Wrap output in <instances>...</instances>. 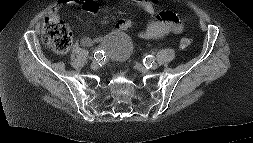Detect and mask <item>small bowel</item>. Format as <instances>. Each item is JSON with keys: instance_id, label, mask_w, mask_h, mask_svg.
<instances>
[{"instance_id": "1", "label": "small bowel", "mask_w": 253, "mask_h": 143, "mask_svg": "<svg viewBox=\"0 0 253 143\" xmlns=\"http://www.w3.org/2000/svg\"><path fill=\"white\" fill-rule=\"evenodd\" d=\"M133 4L144 10L149 14L152 19L145 25L140 32L139 37L142 39H156L168 34H180L182 32V24L178 15L172 10H163L159 13L155 12L154 5L150 0H131ZM78 3L86 12L92 13L97 10L98 0H60L58 6L54 7L48 14L49 19H59V8L65 4ZM133 22L129 18L120 19L112 33H119L128 30ZM107 35H100L94 38L83 37L80 44L84 47H90L93 44L105 41ZM128 55L127 50H123L120 58H126Z\"/></svg>"}]
</instances>
